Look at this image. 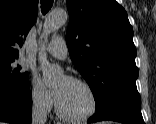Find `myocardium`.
Wrapping results in <instances>:
<instances>
[{
    "label": "myocardium",
    "instance_id": "myocardium-1",
    "mask_svg": "<svg viewBox=\"0 0 156 124\" xmlns=\"http://www.w3.org/2000/svg\"><path fill=\"white\" fill-rule=\"evenodd\" d=\"M66 78L70 81H73L75 83L82 85L88 91V93L91 97V106L88 111H86L85 113H83L81 115H70V114L64 112L60 108V106L58 105V102L55 98L54 104H55V111H56L57 115L60 118H62L63 120L71 121V122H81V121H86V120L90 119L92 116H94L97 113L98 108H99V98H98L96 91L94 90L93 86L89 82H87L86 80H84L80 77L67 76Z\"/></svg>",
    "mask_w": 156,
    "mask_h": 124
}]
</instances>
